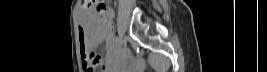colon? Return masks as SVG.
<instances>
[{
  "label": "colon",
  "mask_w": 267,
  "mask_h": 72,
  "mask_svg": "<svg viewBox=\"0 0 267 72\" xmlns=\"http://www.w3.org/2000/svg\"><path fill=\"white\" fill-rule=\"evenodd\" d=\"M82 5L85 6L95 16L99 17L101 21V28L108 30L111 27V23L104 17L106 12V1L103 0H82ZM86 44L81 45V50L86 48ZM101 59L99 55L92 52L87 53V64L84 66L86 72H98V66L100 65Z\"/></svg>",
  "instance_id": "obj_1"
}]
</instances>
